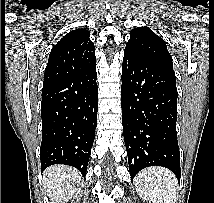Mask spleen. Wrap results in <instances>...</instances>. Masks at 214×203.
I'll use <instances>...</instances> for the list:
<instances>
[{
    "instance_id": "1",
    "label": "spleen",
    "mask_w": 214,
    "mask_h": 203,
    "mask_svg": "<svg viewBox=\"0 0 214 203\" xmlns=\"http://www.w3.org/2000/svg\"><path fill=\"white\" fill-rule=\"evenodd\" d=\"M177 186L175 175L161 167L147 168L135 178L139 196L152 203H175Z\"/></svg>"
}]
</instances>
